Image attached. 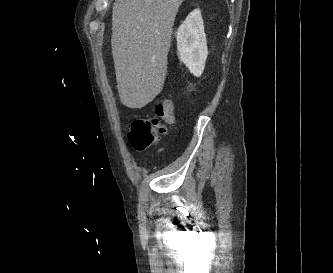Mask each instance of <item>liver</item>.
I'll use <instances>...</instances> for the list:
<instances>
[{"label": "liver", "mask_w": 333, "mask_h": 273, "mask_svg": "<svg viewBox=\"0 0 333 273\" xmlns=\"http://www.w3.org/2000/svg\"><path fill=\"white\" fill-rule=\"evenodd\" d=\"M183 0H116L112 54L120 100L143 108L162 91L175 17Z\"/></svg>", "instance_id": "6515ba94"}]
</instances>
